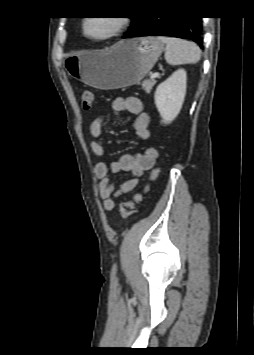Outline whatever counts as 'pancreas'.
<instances>
[{"instance_id":"cf45deb5","label":"pancreas","mask_w":254,"mask_h":355,"mask_svg":"<svg viewBox=\"0 0 254 355\" xmlns=\"http://www.w3.org/2000/svg\"><path fill=\"white\" fill-rule=\"evenodd\" d=\"M156 81L155 80H144L142 82V89L149 94L155 85Z\"/></svg>"}]
</instances>
